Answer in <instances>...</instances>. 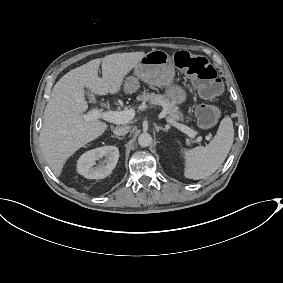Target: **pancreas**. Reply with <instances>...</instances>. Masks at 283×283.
I'll return each mask as SVG.
<instances>
[{"instance_id":"cf45deb5","label":"pancreas","mask_w":283,"mask_h":283,"mask_svg":"<svg viewBox=\"0 0 283 283\" xmlns=\"http://www.w3.org/2000/svg\"><path fill=\"white\" fill-rule=\"evenodd\" d=\"M137 100L162 106L164 109L163 112L166 114L167 120L172 121L174 123L178 121V118L175 114L177 112V109L174 108L172 103L164 97L155 94H144L140 95Z\"/></svg>"}]
</instances>
